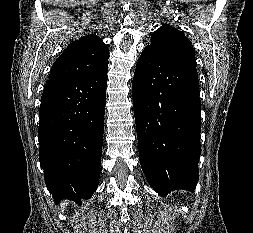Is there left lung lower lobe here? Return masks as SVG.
Segmentation results:
<instances>
[{
	"label": "left lung lower lobe",
	"instance_id": "left-lung-lower-lobe-1",
	"mask_svg": "<svg viewBox=\"0 0 253 233\" xmlns=\"http://www.w3.org/2000/svg\"><path fill=\"white\" fill-rule=\"evenodd\" d=\"M141 167L161 196L194 191L201 153V102L196 65L164 58L148 46L132 83Z\"/></svg>",
	"mask_w": 253,
	"mask_h": 233
}]
</instances>
